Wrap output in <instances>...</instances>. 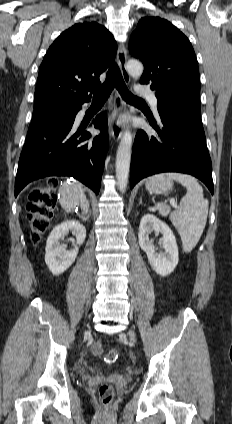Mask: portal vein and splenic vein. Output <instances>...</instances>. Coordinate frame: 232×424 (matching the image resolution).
I'll return each mask as SVG.
<instances>
[{
  "label": "portal vein and splenic vein",
  "mask_w": 232,
  "mask_h": 424,
  "mask_svg": "<svg viewBox=\"0 0 232 424\" xmlns=\"http://www.w3.org/2000/svg\"><path fill=\"white\" fill-rule=\"evenodd\" d=\"M170 204H171L174 208H177V204H176V202H175V200H174V199H171V200H170Z\"/></svg>",
  "instance_id": "obj_1"
}]
</instances>
